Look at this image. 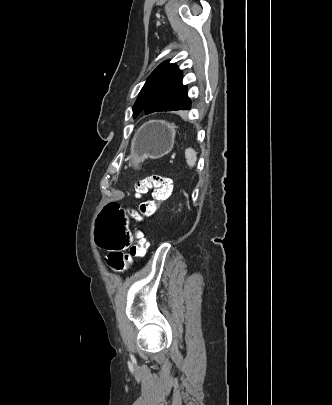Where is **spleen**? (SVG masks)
<instances>
[{"label": "spleen", "mask_w": 332, "mask_h": 405, "mask_svg": "<svg viewBox=\"0 0 332 405\" xmlns=\"http://www.w3.org/2000/svg\"><path fill=\"white\" fill-rule=\"evenodd\" d=\"M185 158H186V162L189 165V167H194L196 165L197 162V153L194 149L192 148H187L185 150Z\"/></svg>", "instance_id": "obj_1"}]
</instances>
